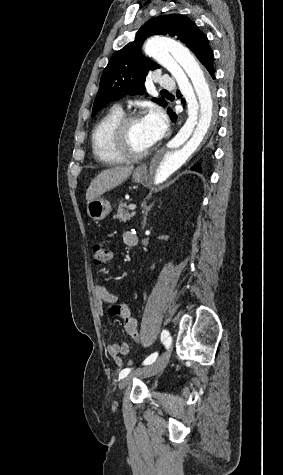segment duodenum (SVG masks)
Returning a JSON list of instances; mask_svg holds the SVG:
<instances>
[{
    "mask_svg": "<svg viewBox=\"0 0 283 475\" xmlns=\"http://www.w3.org/2000/svg\"><path fill=\"white\" fill-rule=\"evenodd\" d=\"M136 244H137V241H136V240H133V241L131 242V246H135Z\"/></svg>",
    "mask_w": 283,
    "mask_h": 475,
    "instance_id": "1",
    "label": "duodenum"
}]
</instances>
